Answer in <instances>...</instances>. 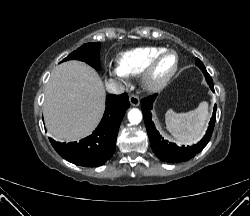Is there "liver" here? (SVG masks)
<instances>
[{"label":"liver","instance_id":"liver-1","mask_svg":"<svg viewBox=\"0 0 250 216\" xmlns=\"http://www.w3.org/2000/svg\"><path fill=\"white\" fill-rule=\"evenodd\" d=\"M105 88L93 68L71 60L57 66L45 88V124L58 141H75L91 134L105 107Z\"/></svg>","mask_w":250,"mask_h":216}]
</instances>
